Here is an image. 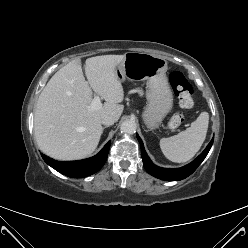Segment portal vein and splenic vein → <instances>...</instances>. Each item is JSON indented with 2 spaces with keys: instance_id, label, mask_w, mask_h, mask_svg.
I'll return each mask as SVG.
<instances>
[{
  "instance_id": "18ae733b",
  "label": "portal vein and splenic vein",
  "mask_w": 248,
  "mask_h": 248,
  "mask_svg": "<svg viewBox=\"0 0 248 248\" xmlns=\"http://www.w3.org/2000/svg\"><path fill=\"white\" fill-rule=\"evenodd\" d=\"M101 101H100V97L98 95L94 96V99L92 100L91 103V108L93 109H97L101 106Z\"/></svg>"
}]
</instances>
